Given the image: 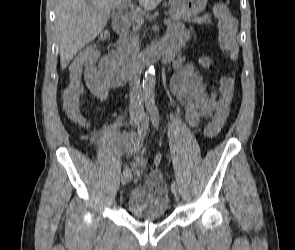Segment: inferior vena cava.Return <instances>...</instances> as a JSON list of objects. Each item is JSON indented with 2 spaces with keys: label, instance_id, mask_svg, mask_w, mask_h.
<instances>
[{
  "label": "inferior vena cava",
  "instance_id": "inferior-vena-cava-1",
  "mask_svg": "<svg viewBox=\"0 0 295 250\" xmlns=\"http://www.w3.org/2000/svg\"><path fill=\"white\" fill-rule=\"evenodd\" d=\"M130 115L142 116L144 114L142 89L140 86V77L138 73L135 74L130 88Z\"/></svg>",
  "mask_w": 295,
  "mask_h": 250
}]
</instances>
